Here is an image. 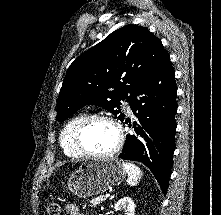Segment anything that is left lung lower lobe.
Returning a JSON list of instances; mask_svg holds the SVG:
<instances>
[{"label": "left lung lower lobe", "mask_w": 221, "mask_h": 215, "mask_svg": "<svg viewBox=\"0 0 221 215\" xmlns=\"http://www.w3.org/2000/svg\"><path fill=\"white\" fill-rule=\"evenodd\" d=\"M175 73L166 57L139 86L130 107L139 122L137 135H128L119 158L142 162L167 193L175 150L176 103ZM127 123V120H125Z\"/></svg>", "instance_id": "1"}]
</instances>
